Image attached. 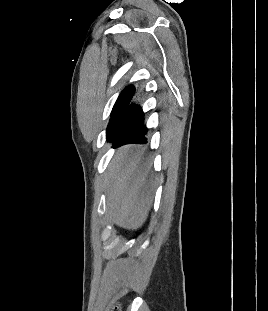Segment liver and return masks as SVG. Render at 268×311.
<instances>
[{"instance_id": "6515ba94", "label": "liver", "mask_w": 268, "mask_h": 311, "mask_svg": "<svg viewBox=\"0 0 268 311\" xmlns=\"http://www.w3.org/2000/svg\"><path fill=\"white\" fill-rule=\"evenodd\" d=\"M108 171L107 204L112 222L127 230L140 228L153 200L150 166L144 161L143 151L136 146L120 148Z\"/></svg>"}]
</instances>
